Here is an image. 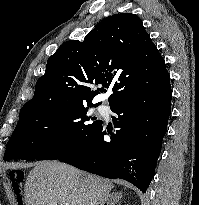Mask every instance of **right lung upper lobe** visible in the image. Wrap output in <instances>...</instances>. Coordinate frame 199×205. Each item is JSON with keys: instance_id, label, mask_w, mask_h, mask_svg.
Segmentation results:
<instances>
[{"instance_id": "obj_1", "label": "right lung upper lobe", "mask_w": 199, "mask_h": 205, "mask_svg": "<svg viewBox=\"0 0 199 205\" xmlns=\"http://www.w3.org/2000/svg\"><path fill=\"white\" fill-rule=\"evenodd\" d=\"M167 72L165 61L142 21L131 13L102 20L82 42H64L47 61L33 98L24 104H92L102 88L113 85L109 104L131 92L139 80ZM97 103L95 105H99Z\"/></svg>"}]
</instances>
